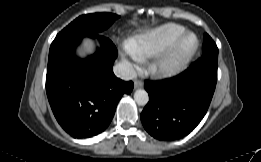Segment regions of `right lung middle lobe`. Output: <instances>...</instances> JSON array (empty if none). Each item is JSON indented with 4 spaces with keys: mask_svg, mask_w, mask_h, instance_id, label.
Masks as SVG:
<instances>
[{
    "mask_svg": "<svg viewBox=\"0 0 261 162\" xmlns=\"http://www.w3.org/2000/svg\"><path fill=\"white\" fill-rule=\"evenodd\" d=\"M120 16L113 13H93L82 15L65 27L57 38L90 35L107 29Z\"/></svg>",
    "mask_w": 261,
    "mask_h": 162,
    "instance_id": "dd1d6c3e",
    "label": "right lung middle lobe"
}]
</instances>
